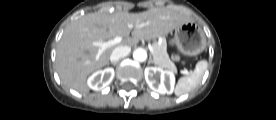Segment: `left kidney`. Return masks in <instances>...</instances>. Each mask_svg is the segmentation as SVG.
<instances>
[{
    "instance_id": "left-kidney-1",
    "label": "left kidney",
    "mask_w": 276,
    "mask_h": 120,
    "mask_svg": "<svg viewBox=\"0 0 276 120\" xmlns=\"http://www.w3.org/2000/svg\"><path fill=\"white\" fill-rule=\"evenodd\" d=\"M148 86L160 94L172 93L175 84V76L171 71L160 67H146L144 71ZM160 79V82L158 80Z\"/></svg>"
}]
</instances>
